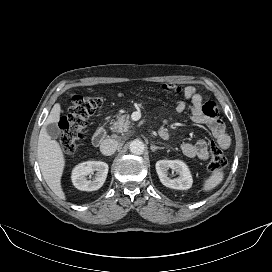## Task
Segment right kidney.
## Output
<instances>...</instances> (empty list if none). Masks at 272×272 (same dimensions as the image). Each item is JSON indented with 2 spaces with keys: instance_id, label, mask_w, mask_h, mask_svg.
I'll use <instances>...</instances> for the list:
<instances>
[{
  "instance_id": "ca27d5eb",
  "label": "right kidney",
  "mask_w": 272,
  "mask_h": 272,
  "mask_svg": "<svg viewBox=\"0 0 272 272\" xmlns=\"http://www.w3.org/2000/svg\"><path fill=\"white\" fill-rule=\"evenodd\" d=\"M108 164L101 161H87L77 165L72 171L73 185L81 191H95L102 187L108 174ZM95 172L93 180L87 176Z\"/></svg>"
}]
</instances>
